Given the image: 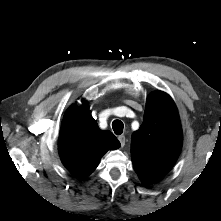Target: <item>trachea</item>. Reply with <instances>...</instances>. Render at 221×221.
Returning <instances> with one entry per match:
<instances>
[{"label": "trachea", "mask_w": 221, "mask_h": 221, "mask_svg": "<svg viewBox=\"0 0 221 221\" xmlns=\"http://www.w3.org/2000/svg\"><path fill=\"white\" fill-rule=\"evenodd\" d=\"M123 123L120 120H114L112 122V128L116 135H121L123 133Z\"/></svg>", "instance_id": "1"}]
</instances>
